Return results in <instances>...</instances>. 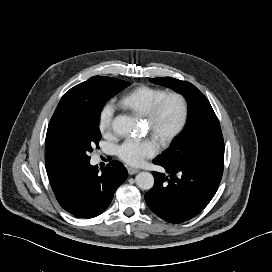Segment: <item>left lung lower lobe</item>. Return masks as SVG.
I'll list each match as a JSON object with an SVG mask.
<instances>
[{
  "label": "left lung lower lobe",
  "mask_w": 272,
  "mask_h": 272,
  "mask_svg": "<svg viewBox=\"0 0 272 272\" xmlns=\"http://www.w3.org/2000/svg\"><path fill=\"white\" fill-rule=\"evenodd\" d=\"M166 169L154 172L155 183L145 194L149 208L160 218L179 224L198 215L215 195L223 173L224 160L165 163Z\"/></svg>",
  "instance_id": "0a47b994"
}]
</instances>
